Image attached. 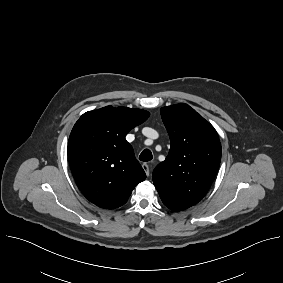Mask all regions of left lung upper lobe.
Wrapping results in <instances>:
<instances>
[{"label": "left lung upper lobe", "mask_w": 283, "mask_h": 283, "mask_svg": "<svg viewBox=\"0 0 283 283\" xmlns=\"http://www.w3.org/2000/svg\"><path fill=\"white\" fill-rule=\"evenodd\" d=\"M160 113L171 147L152 178L164 205L182 211L208 192L220 165L221 144L214 127L189 105L163 107Z\"/></svg>", "instance_id": "left-lung-upper-lobe-1"}]
</instances>
